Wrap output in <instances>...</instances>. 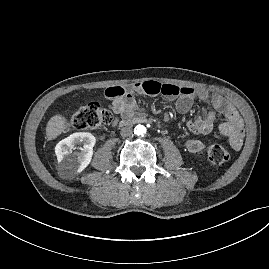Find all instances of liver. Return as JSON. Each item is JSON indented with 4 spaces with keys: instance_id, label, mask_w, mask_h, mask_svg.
<instances>
[{
    "instance_id": "liver-1",
    "label": "liver",
    "mask_w": 269,
    "mask_h": 269,
    "mask_svg": "<svg viewBox=\"0 0 269 269\" xmlns=\"http://www.w3.org/2000/svg\"><path fill=\"white\" fill-rule=\"evenodd\" d=\"M67 119L60 115L56 114L50 118L46 126V136L48 140L55 139L62 133H65L67 130Z\"/></svg>"
}]
</instances>
